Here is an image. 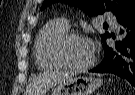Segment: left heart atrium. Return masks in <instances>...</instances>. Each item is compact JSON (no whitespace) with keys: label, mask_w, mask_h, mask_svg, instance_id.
<instances>
[{"label":"left heart atrium","mask_w":135,"mask_h":95,"mask_svg":"<svg viewBox=\"0 0 135 95\" xmlns=\"http://www.w3.org/2000/svg\"><path fill=\"white\" fill-rule=\"evenodd\" d=\"M87 42H88V45H89L91 51L93 52V44H92V42L91 41H88V40H87Z\"/></svg>","instance_id":"39dd6f15"}]
</instances>
